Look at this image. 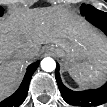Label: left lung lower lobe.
Masks as SVG:
<instances>
[{
    "instance_id": "1",
    "label": "left lung lower lobe",
    "mask_w": 107,
    "mask_h": 107,
    "mask_svg": "<svg viewBox=\"0 0 107 107\" xmlns=\"http://www.w3.org/2000/svg\"><path fill=\"white\" fill-rule=\"evenodd\" d=\"M86 19L93 25L100 28L105 34H107V14L104 12L92 14L86 16ZM56 79L59 85L63 99L71 105L81 106H97L107 101V84L97 90H87L82 92H75L66 88L59 76V66H57Z\"/></svg>"
}]
</instances>
